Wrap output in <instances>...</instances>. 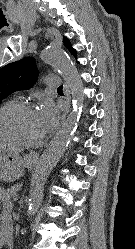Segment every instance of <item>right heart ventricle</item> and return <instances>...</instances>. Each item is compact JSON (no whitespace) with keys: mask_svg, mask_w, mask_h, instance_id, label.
<instances>
[{"mask_svg":"<svg viewBox=\"0 0 135 249\" xmlns=\"http://www.w3.org/2000/svg\"><path fill=\"white\" fill-rule=\"evenodd\" d=\"M14 102H16L15 99L7 100L6 102H4V103L0 106V111H1L4 107H6L7 105L12 104V103H14ZM6 144H13V143L10 142V141H8V140H6V139H4V138H2V137L0 136V145H6Z\"/></svg>","mask_w":135,"mask_h":249,"instance_id":"obj_1","label":"right heart ventricle"}]
</instances>
